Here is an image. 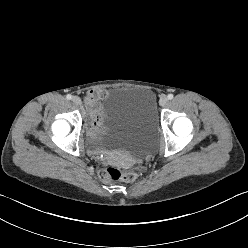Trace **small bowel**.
Wrapping results in <instances>:
<instances>
[{"instance_id":"small-bowel-1","label":"small bowel","mask_w":248,"mask_h":248,"mask_svg":"<svg viewBox=\"0 0 248 248\" xmlns=\"http://www.w3.org/2000/svg\"><path fill=\"white\" fill-rule=\"evenodd\" d=\"M107 96L105 90H94L87 94V108L89 111V126L92 128H99L102 125L103 117L101 115V106L99 101Z\"/></svg>"}]
</instances>
